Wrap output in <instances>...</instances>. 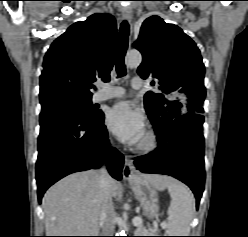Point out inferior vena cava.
I'll list each match as a JSON object with an SVG mask.
<instances>
[{
	"mask_svg": "<svg viewBox=\"0 0 248 237\" xmlns=\"http://www.w3.org/2000/svg\"><path fill=\"white\" fill-rule=\"evenodd\" d=\"M99 203H100V224L102 227V236H113L115 229V211L112 202L110 189V175L105 167L99 170Z\"/></svg>",
	"mask_w": 248,
	"mask_h": 237,
	"instance_id": "1",
	"label": "inferior vena cava"
}]
</instances>
